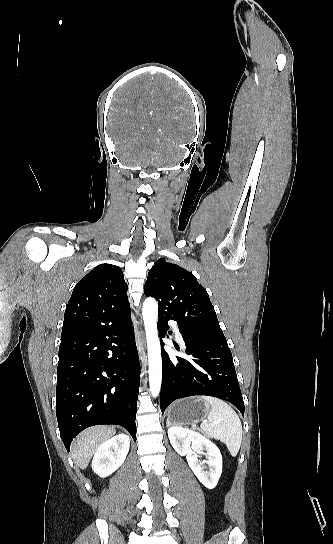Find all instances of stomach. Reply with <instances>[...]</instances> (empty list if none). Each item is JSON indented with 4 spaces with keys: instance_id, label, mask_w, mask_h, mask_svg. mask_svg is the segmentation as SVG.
<instances>
[{
    "instance_id": "stomach-1",
    "label": "stomach",
    "mask_w": 333,
    "mask_h": 544,
    "mask_svg": "<svg viewBox=\"0 0 333 544\" xmlns=\"http://www.w3.org/2000/svg\"><path fill=\"white\" fill-rule=\"evenodd\" d=\"M211 406L201 397L188 398L175 402L168 410V420L173 424H195L206 418Z\"/></svg>"
}]
</instances>
